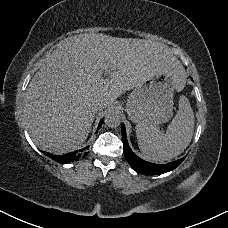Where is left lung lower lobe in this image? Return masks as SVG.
Masks as SVG:
<instances>
[{
  "mask_svg": "<svg viewBox=\"0 0 228 228\" xmlns=\"http://www.w3.org/2000/svg\"><path fill=\"white\" fill-rule=\"evenodd\" d=\"M121 130H122V140H123L125 158L133 169L142 173L143 175H159V174L172 171L175 168H177L186 158V157H183L176 161H173L167 164H161V165L144 161L141 158H139L137 155H135L133 151L130 149L128 145L127 137H126L125 126L123 124L121 126Z\"/></svg>",
  "mask_w": 228,
  "mask_h": 228,
  "instance_id": "left-lung-lower-lobe-1",
  "label": "left lung lower lobe"
}]
</instances>
